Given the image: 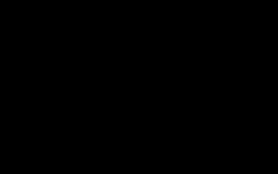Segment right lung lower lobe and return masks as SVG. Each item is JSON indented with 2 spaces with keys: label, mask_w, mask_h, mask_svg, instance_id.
I'll use <instances>...</instances> for the list:
<instances>
[{
  "label": "right lung lower lobe",
  "mask_w": 278,
  "mask_h": 174,
  "mask_svg": "<svg viewBox=\"0 0 278 174\" xmlns=\"http://www.w3.org/2000/svg\"><path fill=\"white\" fill-rule=\"evenodd\" d=\"M56 128L69 144L84 152L108 147L118 130L123 112L134 93L115 78H86L67 74L51 88Z\"/></svg>",
  "instance_id": "1"
}]
</instances>
